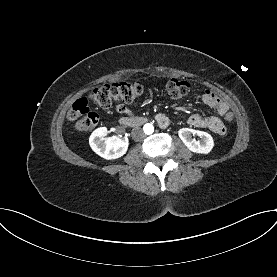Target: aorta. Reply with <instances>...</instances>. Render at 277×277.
<instances>
[{
  "instance_id": "obj_1",
  "label": "aorta",
  "mask_w": 277,
  "mask_h": 277,
  "mask_svg": "<svg viewBox=\"0 0 277 277\" xmlns=\"http://www.w3.org/2000/svg\"><path fill=\"white\" fill-rule=\"evenodd\" d=\"M143 130L145 134L150 135L154 132V126L151 123H147L144 125Z\"/></svg>"
}]
</instances>
